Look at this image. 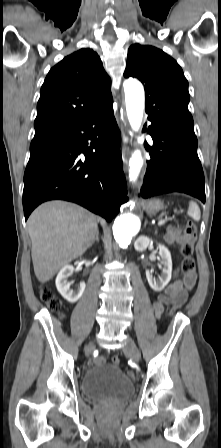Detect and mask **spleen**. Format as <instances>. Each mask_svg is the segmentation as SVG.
Listing matches in <instances>:
<instances>
[{
    "label": "spleen",
    "mask_w": 221,
    "mask_h": 448,
    "mask_svg": "<svg viewBox=\"0 0 221 448\" xmlns=\"http://www.w3.org/2000/svg\"><path fill=\"white\" fill-rule=\"evenodd\" d=\"M188 215L191 216L195 221H199L201 217L200 208L194 201L189 202Z\"/></svg>",
    "instance_id": "obj_1"
}]
</instances>
